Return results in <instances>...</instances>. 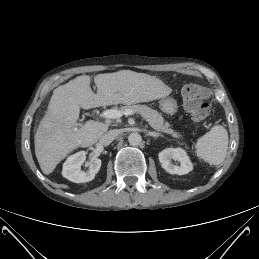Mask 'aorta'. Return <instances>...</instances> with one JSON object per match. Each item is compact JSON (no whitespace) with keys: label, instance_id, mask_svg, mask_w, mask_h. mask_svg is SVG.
Wrapping results in <instances>:
<instances>
[{"label":"aorta","instance_id":"aorta-1","mask_svg":"<svg viewBox=\"0 0 259 259\" xmlns=\"http://www.w3.org/2000/svg\"><path fill=\"white\" fill-rule=\"evenodd\" d=\"M128 142L132 146H138L142 142V137H141V135L139 133H131L128 136Z\"/></svg>","mask_w":259,"mask_h":259}]
</instances>
